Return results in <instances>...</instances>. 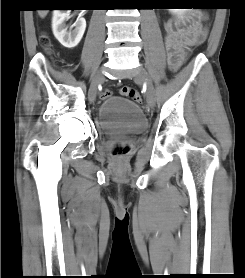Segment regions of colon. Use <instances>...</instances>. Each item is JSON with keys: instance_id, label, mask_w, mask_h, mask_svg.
<instances>
[{"instance_id": "1", "label": "colon", "mask_w": 245, "mask_h": 278, "mask_svg": "<svg viewBox=\"0 0 245 278\" xmlns=\"http://www.w3.org/2000/svg\"><path fill=\"white\" fill-rule=\"evenodd\" d=\"M193 8H196L198 10H202V11H207L211 8V5L209 3H206V2H202V3H197L193 6ZM41 43L43 45V47L47 50H49L51 48V41L50 39L46 36V35H43L41 37ZM119 93L122 95V96H126V97H129L130 99H132L133 101L137 102V103H140L142 101V97L140 94H138L134 89H132L131 87H121L119 89ZM111 95V92L106 90L102 93V96L104 98H107ZM129 150V147L128 146H117L115 149H114V155L116 156H121L122 154H125L127 153Z\"/></svg>"}]
</instances>
